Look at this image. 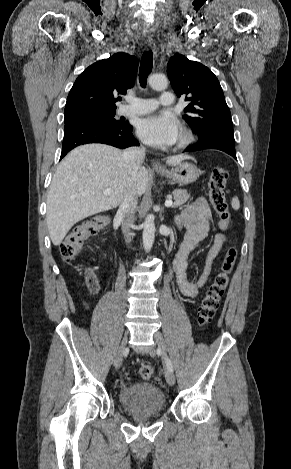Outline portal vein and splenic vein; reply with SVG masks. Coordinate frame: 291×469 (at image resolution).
Masks as SVG:
<instances>
[{"instance_id":"portal-vein-and-splenic-vein-1","label":"portal vein and splenic vein","mask_w":291,"mask_h":469,"mask_svg":"<svg viewBox=\"0 0 291 469\" xmlns=\"http://www.w3.org/2000/svg\"><path fill=\"white\" fill-rule=\"evenodd\" d=\"M103 194H104V195H110V194H111V190H110V189H106V190L103 191ZM172 204H173V202H172V200H170V199H169V200H166V202H165V206H166V207H170V206H172Z\"/></svg>"}]
</instances>
